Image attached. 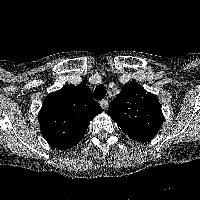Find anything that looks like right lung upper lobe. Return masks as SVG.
<instances>
[{
    "mask_svg": "<svg viewBox=\"0 0 200 200\" xmlns=\"http://www.w3.org/2000/svg\"><path fill=\"white\" fill-rule=\"evenodd\" d=\"M100 110V105L84 84L69 85L50 94L41 111L46 140L60 148L74 145L84 134L89 120Z\"/></svg>",
    "mask_w": 200,
    "mask_h": 200,
    "instance_id": "1",
    "label": "right lung upper lobe"
}]
</instances>
